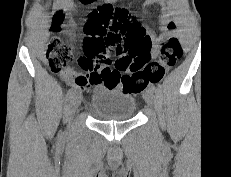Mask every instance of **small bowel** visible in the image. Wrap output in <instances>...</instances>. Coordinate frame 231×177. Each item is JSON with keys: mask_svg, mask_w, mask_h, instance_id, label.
I'll use <instances>...</instances> for the list:
<instances>
[{"mask_svg": "<svg viewBox=\"0 0 231 177\" xmlns=\"http://www.w3.org/2000/svg\"><path fill=\"white\" fill-rule=\"evenodd\" d=\"M115 1L116 0H104V4L112 5V3H114ZM157 1L158 0H147V3L151 4V3H156ZM55 19H59V24H61L63 21L62 13L57 14ZM167 20H168L167 15L164 13L161 14L160 22L163 25V27L166 25ZM68 25L70 27H74L75 24L73 23L72 20H69ZM141 27L145 30V32L147 33V35L150 37L151 40L150 56L157 57L162 46V38L152 34L147 28L143 26ZM78 63L82 67V69L85 70L86 73L80 74L71 69L61 72L60 74L61 77L67 83L72 84L74 87L78 89H85L99 83H104L107 86H116L115 84L110 83L108 79L103 75L102 73L103 67L102 68L98 67L94 61L89 60L84 56L78 59Z\"/></svg>", "mask_w": 231, "mask_h": 177, "instance_id": "1", "label": "small bowel"}]
</instances>
